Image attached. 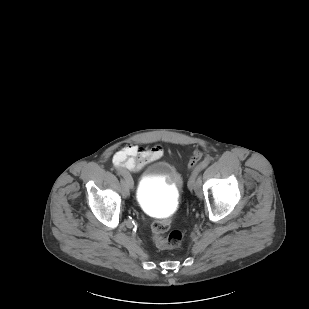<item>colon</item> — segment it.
Here are the masks:
<instances>
[{"instance_id": "5ec220e1", "label": "colon", "mask_w": 309, "mask_h": 309, "mask_svg": "<svg viewBox=\"0 0 309 309\" xmlns=\"http://www.w3.org/2000/svg\"><path fill=\"white\" fill-rule=\"evenodd\" d=\"M202 151L196 150L188 162V169L192 173L197 169L202 159ZM171 219L162 218L155 221L151 226L152 239L159 249H174L181 245L183 232L175 229L167 233L170 229Z\"/></svg>"}]
</instances>
